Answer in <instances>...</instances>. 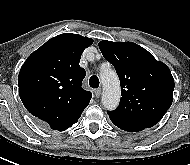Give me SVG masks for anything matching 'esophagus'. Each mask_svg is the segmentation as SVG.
<instances>
[{
	"label": "esophagus",
	"instance_id": "34e87169",
	"mask_svg": "<svg viewBox=\"0 0 190 165\" xmlns=\"http://www.w3.org/2000/svg\"><path fill=\"white\" fill-rule=\"evenodd\" d=\"M94 95H95L96 98H99L100 95H101V88H98V89L94 90Z\"/></svg>",
	"mask_w": 190,
	"mask_h": 165
}]
</instances>
